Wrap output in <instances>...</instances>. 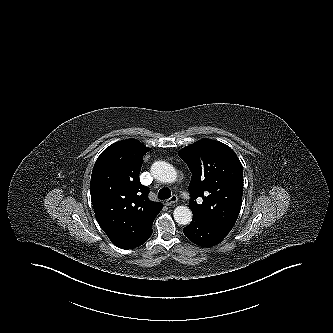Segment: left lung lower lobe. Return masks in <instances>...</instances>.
<instances>
[{
  "instance_id": "obj_1",
  "label": "left lung lower lobe",
  "mask_w": 333,
  "mask_h": 333,
  "mask_svg": "<svg viewBox=\"0 0 333 333\" xmlns=\"http://www.w3.org/2000/svg\"><path fill=\"white\" fill-rule=\"evenodd\" d=\"M183 232L195 244L209 247L219 244L230 230L193 215L191 223L183 229Z\"/></svg>"
}]
</instances>
